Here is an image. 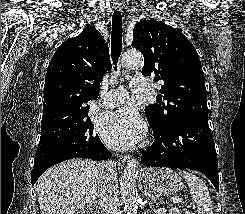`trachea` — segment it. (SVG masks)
Here are the masks:
<instances>
[{
	"instance_id": "obj_1",
	"label": "trachea",
	"mask_w": 245,
	"mask_h": 214,
	"mask_svg": "<svg viewBox=\"0 0 245 214\" xmlns=\"http://www.w3.org/2000/svg\"><path fill=\"white\" fill-rule=\"evenodd\" d=\"M122 32V15L120 11H115L112 18L111 33V57L115 66L122 51Z\"/></svg>"
}]
</instances>
